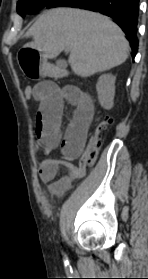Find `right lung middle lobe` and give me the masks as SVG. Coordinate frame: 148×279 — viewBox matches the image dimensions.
I'll list each match as a JSON object with an SVG mask.
<instances>
[{
    "instance_id": "1",
    "label": "right lung middle lobe",
    "mask_w": 148,
    "mask_h": 279,
    "mask_svg": "<svg viewBox=\"0 0 148 279\" xmlns=\"http://www.w3.org/2000/svg\"><path fill=\"white\" fill-rule=\"evenodd\" d=\"M52 0H19L17 12L24 17L26 14H34L46 7Z\"/></svg>"
}]
</instances>
